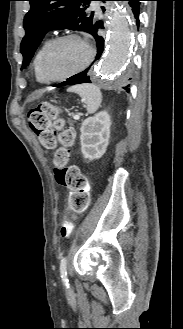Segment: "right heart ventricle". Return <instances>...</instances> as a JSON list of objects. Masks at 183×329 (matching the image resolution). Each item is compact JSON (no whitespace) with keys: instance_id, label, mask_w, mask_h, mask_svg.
<instances>
[{"instance_id":"right-heart-ventricle-1","label":"right heart ventricle","mask_w":183,"mask_h":329,"mask_svg":"<svg viewBox=\"0 0 183 329\" xmlns=\"http://www.w3.org/2000/svg\"><path fill=\"white\" fill-rule=\"evenodd\" d=\"M50 43V40H45L41 46L38 48L37 52L35 53L34 59H33V69H34V74L36 77V80L40 83H46L48 82L44 75L42 74L41 71V58L43 55V52L45 50V48L48 46V44Z\"/></svg>"}]
</instances>
